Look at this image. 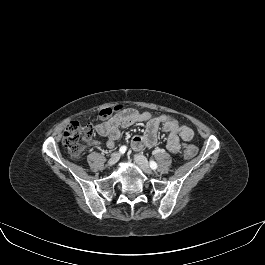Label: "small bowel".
<instances>
[{
  "mask_svg": "<svg viewBox=\"0 0 265 265\" xmlns=\"http://www.w3.org/2000/svg\"><path fill=\"white\" fill-rule=\"evenodd\" d=\"M140 122L146 124V130L143 134L133 137L131 141V146L136 151L155 147L160 128L168 134L167 149L174 154L180 151V140L189 142L194 138V131L174 118L168 115L153 116L149 112H140L134 108L119 111L107 121L98 124L96 130L99 135L106 138V145L114 148L121 131Z\"/></svg>",
  "mask_w": 265,
  "mask_h": 265,
  "instance_id": "c3829d8e",
  "label": "small bowel"
}]
</instances>
